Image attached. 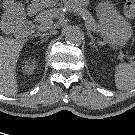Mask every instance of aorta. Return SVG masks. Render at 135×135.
<instances>
[{
  "instance_id": "762f6f07",
  "label": "aorta",
  "mask_w": 135,
  "mask_h": 135,
  "mask_svg": "<svg viewBox=\"0 0 135 135\" xmlns=\"http://www.w3.org/2000/svg\"><path fill=\"white\" fill-rule=\"evenodd\" d=\"M65 40L68 44L71 45H80L83 42L84 34L83 32L75 27V26H68L64 30Z\"/></svg>"
}]
</instances>
